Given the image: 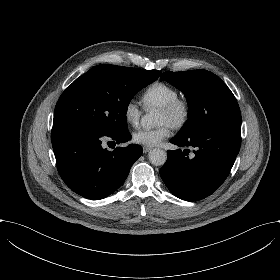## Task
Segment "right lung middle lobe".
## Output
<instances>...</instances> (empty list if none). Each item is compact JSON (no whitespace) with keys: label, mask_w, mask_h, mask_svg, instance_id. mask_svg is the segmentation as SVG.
<instances>
[{"label":"right lung middle lobe","mask_w":280,"mask_h":280,"mask_svg":"<svg viewBox=\"0 0 280 280\" xmlns=\"http://www.w3.org/2000/svg\"><path fill=\"white\" fill-rule=\"evenodd\" d=\"M160 74L157 70L106 64L91 68L60 96L53 128L74 126L101 135L122 132L127 129L131 99Z\"/></svg>","instance_id":"dd1d6c3e"}]
</instances>
